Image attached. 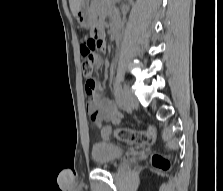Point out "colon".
<instances>
[{
  "mask_svg": "<svg viewBox=\"0 0 223 191\" xmlns=\"http://www.w3.org/2000/svg\"><path fill=\"white\" fill-rule=\"evenodd\" d=\"M101 47V40L94 35L84 39L81 44V55L83 57L82 73L92 88H94L92 75L94 72L97 53ZM112 134L121 141L136 145L152 144L156 139V130L152 125H150L146 130H133L127 128L112 130L110 127H104L102 129V136L105 139H109ZM152 163L155 168L162 171H168L170 168L169 160L159 153H155L153 155Z\"/></svg>",
  "mask_w": 223,
  "mask_h": 191,
  "instance_id": "colon-1",
  "label": "colon"
}]
</instances>
